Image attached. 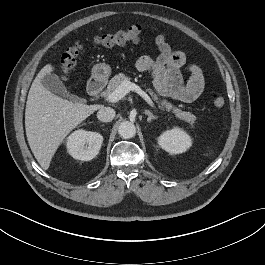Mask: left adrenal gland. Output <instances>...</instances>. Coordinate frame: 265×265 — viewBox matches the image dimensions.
I'll use <instances>...</instances> for the list:
<instances>
[{"instance_id":"a2214340","label":"left adrenal gland","mask_w":265,"mask_h":265,"mask_svg":"<svg viewBox=\"0 0 265 265\" xmlns=\"http://www.w3.org/2000/svg\"><path fill=\"white\" fill-rule=\"evenodd\" d=\"M145 114L148 115L147 122H151L152 120L157 119L149 110H145Z\"/></svg>"}]
</instances>
